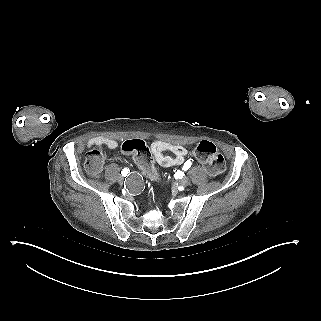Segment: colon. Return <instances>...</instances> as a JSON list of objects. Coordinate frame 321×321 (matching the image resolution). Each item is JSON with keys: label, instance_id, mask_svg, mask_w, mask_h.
Returning <instances> with one entry per match:
<instances>
[{"label": "colon", "instance_id": "1", "mask_svg": "<svg viewBox=\"0 0 321 321\" xmlns=\"http://www.w3.org/2000/svg\"><path fill=\"white\" fill-rule=\"evenodd\" d=\"M122 150L134 155L137 164L151 180L158 179V174L151 162L149 149L144 141L139 139L127 140L122 144ZM193 153L209 175L215 176L224 171L225 159L214 143L207 140L200 141L194 148ZM102 164L103 153L101 146H97L88 152L85 168L89 174L97 175L102 168Z\"/></svg>", "mask_w": 321, "mask_h": 321}]
</instances>
